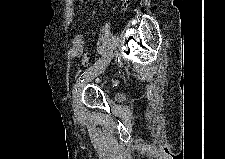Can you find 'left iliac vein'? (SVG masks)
I'll use <instances>...</instances> for the list:
<instances>
[{
  "label": "left iliac vein",
  "instance_id": "obj_1",
  "mask_svg": "<svg viewBox=\"0 0 225 159\" xmlns=\"http://www.w3.org/2000/svg\"><path fill=\"white\" fill-rule=\"evenodd\" d=\"M114 54L115 53H111L109 56L105 57L104 60L102 61V63L97 68H95L93 71H91V73L86 76L84 81L79 84L78 90L72 98V106H73L74 114L77 118H80V116H81L80 96H81V91H82L83 86L86 83L92 81L95 77H97L98 75H100L101 73H103L105 71V69L109 65L111 59L113 58Z\"/></svg>",
  "mask_w": 225,
  "mask_h": 159
}]
</instances>
